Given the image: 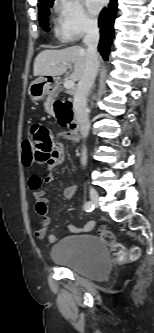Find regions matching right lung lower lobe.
Wrapping results in <instances>:
<instances>
[{"label":"right lung lower lobe","mask_w":154,"mask_h":333,"mask_svg":"<svg viewBox=\"0 0 154 333\" xmlns=\"http://www.w3.org/2000/svg\"><path fill=\"white\" fill-rule=\"evenodd\" d=\"M117 0H110L107 8H104L100 14V43L98 46L99 52L105 60L108 59L110 43L113 36V23L116 18Z\"/></svg>","instance_id":"1"}]
</instances>
